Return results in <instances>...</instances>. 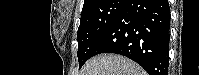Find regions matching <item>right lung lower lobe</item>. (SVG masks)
Segmentation results:
<instances>
[{"instance_id":"obj_1","label":"right lung lower lobe","mask_w":199,"mask_h":75,"mask_svg":"<svg viewBox=\"0 0 199 75\" xmlns=\"http://www.w3.org/2000/svg\"><path fill=\"white\" fill-rule=\"evenodd\" d=\"M170 18L168 0H127L95 46L93 56L121 54L149 75H168Z\"/></svg>"}]
</instances>
